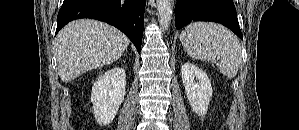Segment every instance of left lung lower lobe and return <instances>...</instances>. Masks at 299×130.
Returning <instances> with one entry per match:
<instances>
[{
	"label": "left lung lower lobe",
	"instance_id": "0a47b994",
	"mask_svg": "<svg viewBox=\"0 0 299 130\" xmlns=\"http://www.w3.org/2000/svg\"><path fill=\"white\" fill-rule=\"evenodd\" d=\"M192 20L220 23L242 39L232 0H177L175 6L176 28L181 29Z\"/></svg>",
	"mask_w": 299,
	"mask_h": 130
}]
</instances>
